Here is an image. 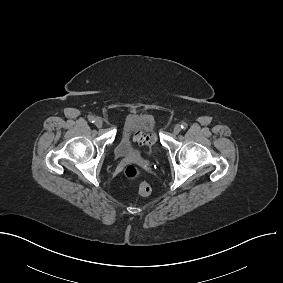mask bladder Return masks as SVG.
Segmentation results:
<instances>
[{
	"label": "bladder",
	"instance_id": "1",
	"mask_svg": "<svg viewBox=\"0 0 283 283\" xmlns=\"http://www.w3.org/2000/svg\"><path fill=\"white\" fill-rule=\"evenodd\" d=\"M144 132L150 137V152L157 151V136L153 126L147 117L139 116L132 118L125 126L114 149L115 155L121 159H134L142 156V151L133 142V134Z\"/></svg>",
	"mask_w": 283,
	"mask_h": 283
}]
</instances>
